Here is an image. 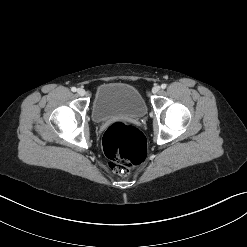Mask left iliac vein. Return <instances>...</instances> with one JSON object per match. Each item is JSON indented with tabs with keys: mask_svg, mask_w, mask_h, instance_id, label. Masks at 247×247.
<instances>
[{
	"mask_svg": "<svg viewBox=\"0 0 247 247\" xmlns=\"http://www.w3.org/2000/svg\"><path fill=\"white\" fill-rule=\"evenodd\" d=\"M159 91H160V86H158V85H156V86H154V87L152 88V92H153L154 94L158 93Z\"/></svg>",
	"mask_w": 247,
	"mask_h": 247,
	"instance_id": "left-iliac-vein-1",
	"label": "left iliac vein"
}]
</instances>
